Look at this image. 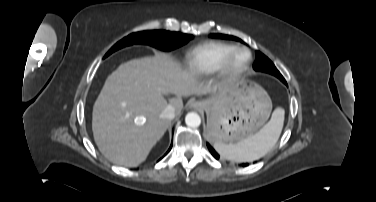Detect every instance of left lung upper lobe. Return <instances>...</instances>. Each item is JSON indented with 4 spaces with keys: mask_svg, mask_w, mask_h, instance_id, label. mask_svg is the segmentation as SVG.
<instances>
[{
    "mask_svg": "<svg viewBox=\"0 0 376 202\" xmlns=\"http://www.w3.org/2000/svg\"><path fill=\"white\" fill-rule=\"evenodd\" d=\"M212 38H221V39H229V40H236L240 41L241 39L230 36V35H224V34H211L210 35ZM253 68L256 71H262V72H267L270 73L277 78H279L281 81L284 80L283 76L281 73L277 70V68L274 66V64L261 52L256 51V60L254 62Z\"/></svg>",
    "mask_w": 376,
    "mask_h": 202,
    "instance_id": "5c2ea615",
    "label": "left lung upper lobe"
}]
</instances>
